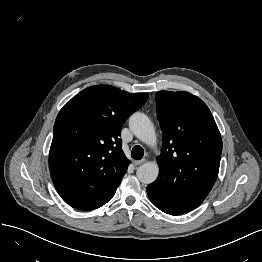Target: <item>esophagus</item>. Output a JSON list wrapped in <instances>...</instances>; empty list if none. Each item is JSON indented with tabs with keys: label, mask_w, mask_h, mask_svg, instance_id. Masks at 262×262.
Returning a JSON list of instances; mask_svg holds the SVG:
<instances>
[{
	"label": "esophagus",
	"mask_w": 262,
	"mask_h": 262,
	"mask_svg": "<svg viewBox=\"0 0 262 262\" xmlns=\"http://www.w3.org/2000/svg\"><path fill=\"white\" fill-rule=\"evenodd\" d=\"M146 162V159H142V160H133V164L135 165V166H137V165H141V164H143V163H145Z\"/></svg>",
	"instance_id": "obj_1"
}]
</instances>
